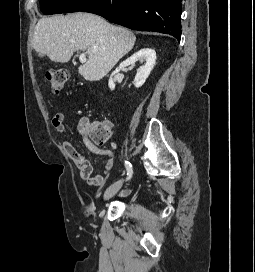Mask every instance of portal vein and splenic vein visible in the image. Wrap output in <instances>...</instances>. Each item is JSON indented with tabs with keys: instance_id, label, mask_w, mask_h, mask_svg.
<instances>
[{
	"instance_id": "portal-vein-and-splenic-vein-1",
	"label": "portal vein and splenic vein",
	"mask_w": 255,
	"mask_h": 272,
	"mask_svg": "<svg viewBox=\"0 0 255 272\" xmlns=\"http://www.w3.org/2000/svg\"><path fill=\"white\" fill-rule=\"evenodd\" d=\"M79 60L81 63H85L86 62V55L85 53H81L80 57H79Z\"/></svg>"
}]
</instances>
